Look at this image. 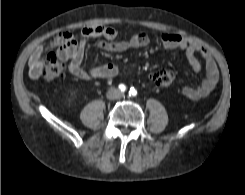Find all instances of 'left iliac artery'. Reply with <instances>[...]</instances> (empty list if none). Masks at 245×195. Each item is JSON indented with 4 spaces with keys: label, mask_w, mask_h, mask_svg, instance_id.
Wrapping results in <instances>:
<instances>
[{
    "label": "left iliac artery",
    "mask_w": 245,
    "mask_h": 195,
    "mask_svg": "<svg viewBox=\"0 0 245 195\" xmlns=\"http://www.w3.org/2000/svg\"><path fill=\"white\" fill-rule=\"evenodd\" d=\"M136 94H137V91L134 88H130L129 95L130 96H136Z\"/></svg>",
    "instance_id": "44dca946"
}]
</instances>
